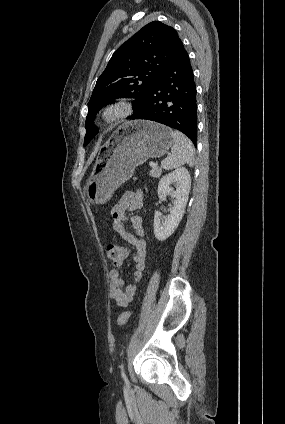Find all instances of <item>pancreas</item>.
I'll list each match as a JSON object with an SVG mask.
<instances>
[{
	"label": "pancreas",
	"instance_id": "pancreas-1",
	"mask_svg": "<svg viewBox=\"0 0 285 424\" xmlns=\"http://www.w3.org/2000/svg\"><path fill=\"white\" fill-rule=\"evenodd\" d=\"M162 173V169L159 168L157 165L153 166L151 171H150V176L155 177V178H159L160 175Z\"/></svg>",
	"mask_w": 285,
	"mask_h": 424
}]
</instances>
